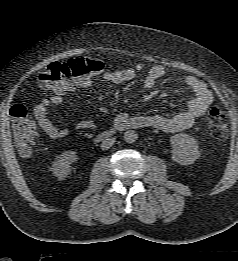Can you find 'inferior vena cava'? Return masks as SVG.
<instances>
[{
    "label": "inferior vena cava",
    "instance_id": "1",
    "mask_svg": "<svg viewBox=\"0 0 238 261\" xmlns=\"http://www.w3.org/2000/svg\"><path fill=\"white\" fill-rule=\"evenodd\" d=\"M114 142H115L114 138L105 139L101 144V149L108 150L111 146H113Z\"/></svg>",
    "mask_w": 238,
    "mask_h": 261
}]
</instances>
